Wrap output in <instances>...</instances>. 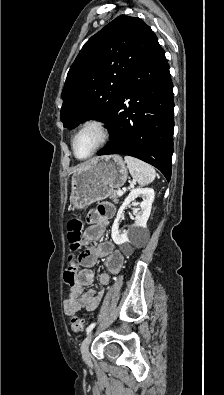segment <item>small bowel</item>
I'll return each instance as SVG.
<instances>
[{
    "label": "small bowel",
    "instance_id": "small-bowel-1",
    "mask_svg": "<svg viewBox=\"0 0 224 395\" xmlns=\"http://www.w3.org/2000/svg\"><path fill=\"white\" fill-rule=\"evenodd\" d=\"M114 213L115 208L109 203L101 204L88 213L89 226L84 232V240L86 243L98 242V244L88 246L80 258L84 268L79 271L74 284L71 285L69 297L64 301V310L67 315H72L81 309L94 311L98 307L103 291L95 289L85 291V287L93 283L95 274L90 268L100 259H105L107 269V272L101 273L98 277L102 286H107L111 275L118 274L123 266V253L115 247L112 241L103 240L108 220L113 217Z\"/></svg>",
    "mask_w": 224,
    "mask_h": 395
}]
</instances>
